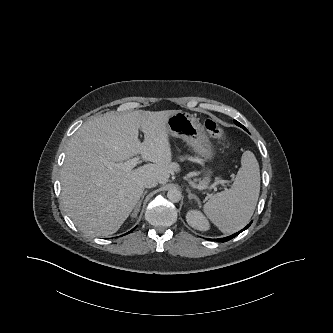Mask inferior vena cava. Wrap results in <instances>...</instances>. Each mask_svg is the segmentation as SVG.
<instances>
[{
	"instance_id": "1",
	"label": "inferior vena cava",
	"mask_w": 333,
	"mask_h": 333,
	"mask_svg": "<svg viewBox=\"0 0 333 333\" xmlns=\"http://www.w3.org/2000/svg\"><path fill=\"white\" fill-rule=\"evenodd\" d=\"M158 184V180L155 178H148L144 182L145 188H153Z\"/></svg>"
}]
</instances>
